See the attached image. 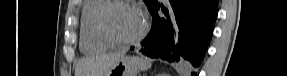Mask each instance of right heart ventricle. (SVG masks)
Returning a JSON list of instances; mask_svg holds the SVG:
<instances>
[{
    "label": "right heart ventricle",
    "mask_w": 287,
    "mask_h": 76,
    "mask_svg": "<svg viewBox=\"0 0 287 76\" xmlns=\"http://www.w3.org/2000/svg\"><path fill=\"white\" fill-rule=\"evenodd\" d=\"M109 0H87L81 11L80 49L84 53H98L110 48L97 31V17Z\"/></svg>",
    "instance_id": "right-heart-ventricle-1"
}]
</instances>
